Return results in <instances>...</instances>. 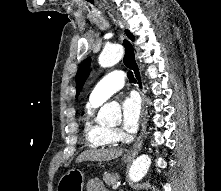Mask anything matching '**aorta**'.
<instances>
[{
	"label": "aorta",
	"mask_w": 221,
	"mask_h": 191,
	"mask_svg": "<svg viewBox=\"0 0 221 191\" xmlns=\"http://www.w3.org/2000/svg\"><path fill=\"white\" fill-rule=\"evenodd\" d=\"M123 56V48L119 44H112L104 48L98 58L101 67H111L118 63ZM120 108L112 103L104 104L99 112L101 119L110 121L120 116ZM151 165V158L147 154H142L132 163L129 176L133 182L140 181Z\"/></svg>",
	"instance_id": "aorta-1"
}]
</instances>
